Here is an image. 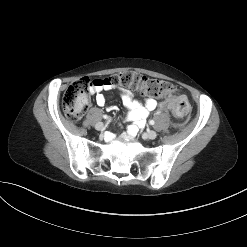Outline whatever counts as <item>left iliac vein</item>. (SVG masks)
Instances as JSON below:
<instances>
[{
  "mask_svg": "<svg viewBox=\"0 0 247 247\" xmlns=\"http://www.w3.org/2000/svg\"><path fill=\"white\" fill-rule=\"evenodd\" d=\"M145 136L148 139H155L157 137V133L153 130H150L145 133Z\"/></svg>",
  "mask_w": 247,
  "mask_h": 247,
  "instance_id": "4c4485c4",
  "label": "left iliac vein"
}]
</instances>
